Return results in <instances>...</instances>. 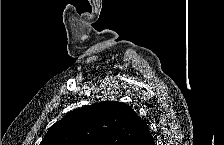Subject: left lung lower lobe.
I'll return each mask as SVG.
<instances>
[{
    "label": "left lung lower lobe",
    "instance_id": "0a47b994",
    "mask_svg": "<svg viewBox=\"0 0 224 145\" xmlns=\"http://www.w3.org/2000/svg\"><path fill=\"white\" fill-rule=\"evenodd\" d=\"M133 145H154V139L145 124Z\"/></svg>",
    "mask_w": 224,
    "mask_h": 145
}]
</instances>
